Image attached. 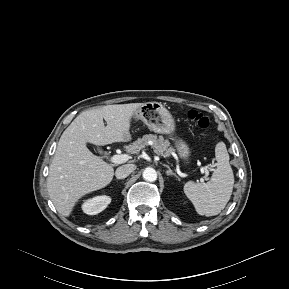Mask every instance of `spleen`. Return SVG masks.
Masks as SVG:
<instances>
[{"instance_id": "3e777b00", "label": "spleen", "mask_w": 289, "mask_h": 289, "mask_svg": "<svg viewBox=\"0 0 289 289\" xmlns=\"http://www.w3.org/2000/svg\"><path fill=\"white\" fill-rule=\"evenodd\" d=\"M215 157L217 168L207 183L189 181L184 185V193L193 203L197 213L207 217L218 215L225 208L234 185L229 154L223 142L216 145Z\"/></svg>"}]
</instances>
